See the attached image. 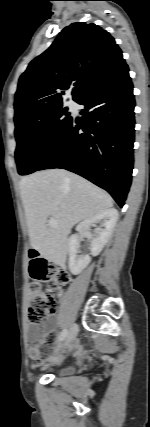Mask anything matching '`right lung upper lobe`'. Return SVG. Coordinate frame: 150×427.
Returning <instances> with one entry per match:
<instances>
[{
  "label": "right lung upper lobe",
  "instance_id": "cb5924a9",
  "mask_svg": "<svg viewBox=\"0 0 150 427\" xmlns=\"http://www.w3.org/2000/svg\"><path fill=\"white\" fill-rule=\"evenodd\" d=\"M125 66L120 48L106 30L93 23H73L21 75L14 121L34 111L62 105V95L70 87L73 100L78 102Z\"/></svg>",
  "mask_w": 150,
  "mask_h": 427
}]
</instances>
